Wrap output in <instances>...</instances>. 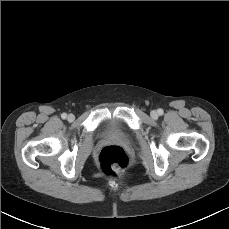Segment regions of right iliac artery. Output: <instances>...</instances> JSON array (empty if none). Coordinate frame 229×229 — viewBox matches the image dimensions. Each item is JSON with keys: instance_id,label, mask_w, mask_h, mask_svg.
I'll return each mask as SVG.
<instances>
[{"instance_id": "obj_1", "label": "right iliac artery", "mask_w": 229, "mask_h": 229, "mask_svg": "<svg viewBox=\"0 0 229 229\" xmlns=\"http://www.w3.org/2000/svg\"><path fill=\"white\" fill-rule=\"evenodd\" d=\"M61 117H62L63 119H66L67 114H66V113H63V114L61 115Z\"/></svg>"}]
</instances>
